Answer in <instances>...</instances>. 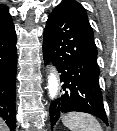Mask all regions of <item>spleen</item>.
Segmentation results:
<instances>
[{
    "instance_id": "1",
    "label": "spleen",
    "mask_w": 117,
    "mask_h": 131,
    "mask_svg": "<svg viewBox=\"0 0 117 131\" xmlns=\"http://www.w3.org/2000/svg\"><path fill=\"white\" fill-rule=\"evenodd\" d=\"M62 123L70 131H102L100 123L90 114L70 112L62 117Z\"/></svg>"
}]
</instances>
